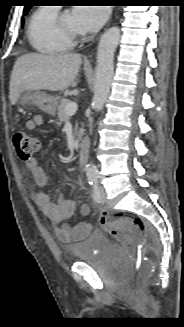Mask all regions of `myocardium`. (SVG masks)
I'll list each match as a JSON object with an SVG mask.
<instances>
[{
  "label": "myocardium",
  "instance_id": "f54148a6",
  "mask_svg": "<svg viewBox=\"0 0 184 327\" xmlns=\"http://www.w3.org/2000/svg\"><path fill=\"white\" fill-rule=\"evenodd\" d=\"M56 25L59 31L73 42L77 41L81 36L78 31H74L65 27V25L63 24V14L58 15L56 19Z\"/></svg>",
  "mask_w": 184,
  "mask_h": 327
}]
</instances>
